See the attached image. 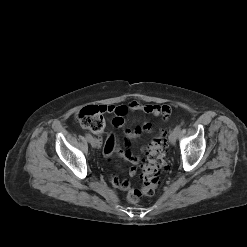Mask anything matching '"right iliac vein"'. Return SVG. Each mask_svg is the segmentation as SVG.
<instances>
[{"mask_svg": "<svg viewBox=\"0 0 247 247\" xmlns=\"http://www.w3.org/2000/svg\"><path fill=\"white\" fill-rule=\"evenodd\" d=\"M89 143L91 144V146L93 148H96L98 146V141L96 138L92 137L90 140H89Z\"/></svg>", "mask_w": 247, "mask_h": 247, "instance_id": "obj_1", "label": "right iliac vein"}]
</instances>
